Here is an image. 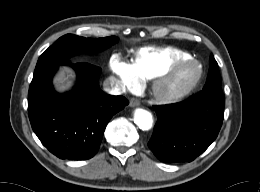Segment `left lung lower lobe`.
I'll list each match as a JSON object with an SVG mask.
<instances>
[{"label": "left lung lower lobe", "mask_w": 260, "mask_h": 192, "mask_svg": "<svg viewBox=\"0 0 260 192\" xmlns=\"http://www.w3.org/2000/svg\"><path fill=\"white\" fill-rule=\"evenodd\" d=\"M222 90H202L188 99L153 106L158 120L148 147L163 162H191L216 139L223 122Z\"/></svg>", "instance_id": "left-lung-lower-lobe-1"}]
</instances>
